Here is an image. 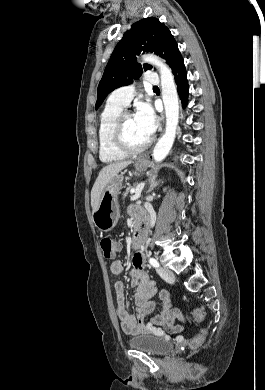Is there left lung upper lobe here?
Segmentation results:
<instances>
[{
	"label": "left lung upper lobe",
	"instance_id": "left-lung-upper-lobe-1",
	"mask_svg": "<svg viewBox=\"0 0 265 390\" xmlns=\"http://www.w3.org/2000/svg\"><path fill=\"white\" fill-rule=\"evenodd\" d=\"M141 52L158 54L170 67L180 54L173 35L158 19L150 17L134 23L115 47L104 70L97 89L96 109L114 89L131 84L143 70L152 68L136 62V55Z\"/></svg>",
	"mask_w": 265,
	"mask_h": 390
}]
</instances>
